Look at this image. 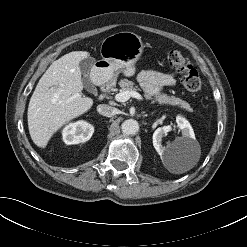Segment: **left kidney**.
I'll return each mask as SVG.
<instances>
[{"mask_svg": "<svg viewBox=\"0 0 247 247\" xmlns=\"http://www.w3.org/2000/svg\"><path fill=\"white\" fill-rule=\"evenodd\" d=\"M177 127L182 132V137L176 138L168 146L162 145V137L172 131V126H164L155 130L153 134V146L158 154L163 158H168L171 155L183 154L188 155L192 148L197 146L194 131L190 123L183 117H177Z\"/></svg>", "mask_w": 247, "mask_h": 247, "instance_id": "obj_1", "label": "left kidney"}]
</instances>
